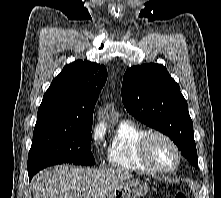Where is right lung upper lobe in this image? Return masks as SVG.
<instances>
[{
    "label": "right lung upper lobe",
    "instance_id": "1",
    "mask_svg": "<svg viewBox=\"0 0 221 198\" xmlns=\"http://www.w3.org/2000/svg\"><path fill=\"white\" fill-rule=\"evenodd\" d=\"M106 80L103 65L82 60L66 65L45 92L35 127L91 126L98 93Z\"/></svg>",
    "mask_w": 221,
    "mask_h": 198
}]
</instances>
